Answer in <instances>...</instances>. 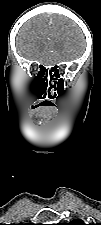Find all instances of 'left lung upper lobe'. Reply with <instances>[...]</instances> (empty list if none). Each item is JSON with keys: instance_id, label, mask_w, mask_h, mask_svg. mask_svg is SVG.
<instances>
[{"instance_id": "5c2ea615", "label": "left lung upper lobe", "mask_w": 101, "mask_h": 225, "mask_svg": "<svg viewBox=\"0 0 101 225\" xmlns=\"http://www.w3.org/2000/svg\"><path fill=\"white\" fill-rule=\"evenodd\" d=\"M60 225H88V224H85L81 219H75L71 221L70 223L60 224Z\"/></svg>"}]
</instances>
